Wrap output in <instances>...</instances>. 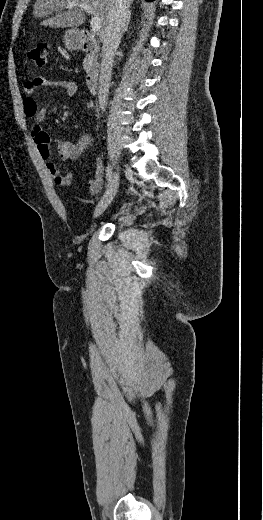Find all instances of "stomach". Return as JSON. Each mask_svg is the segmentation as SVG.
<instances>
[{"mask_svg":"<svg viewBox=\"0 0 263 520\" xmlns=\"http://www.w3.org/2000/svg\"><path fill=\"white\" fill-rule=\"evenodd\" d=\"M63 41L67 48L71 50L79 49L82 45V36L80 31L76 28L66 30L63 36Z\"/></svg>","mask_w":263,"mask_h":520,"instance_id":"1","label":"stomach"}]
</instances>
